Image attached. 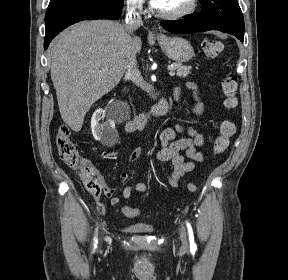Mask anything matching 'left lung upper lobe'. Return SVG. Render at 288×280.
<instances>
[{"instance_id":"1","label":"left lung upper lobe","mask_w":288,"mask_h":280,"mask_svg":"<svg viewBox=\"0 0 288 280\" xmlns=\"http://www.w3.org/2000/svg\"><path fill=\"white\" fill-rule=\"evenodd\" d=\"M202 13L210 19L244 32V18L236 0H200Z\"/></svg>"}]
</instances>
